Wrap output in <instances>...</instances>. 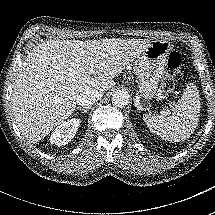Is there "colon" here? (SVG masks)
<instances>
[{"instance_id": "obj_1", "label": "colon", "mask_w": 215, "mask_h": 215, "mask_svg": "<svg viewBox=\"0 0 215 215\" xmlns=\"http://www.w3.org/2000/svg\"><path fill=\"white\" fill-rule=\"evenodd\" d=\"M180 64H181V55L176 51H172L168 56L167 69L169 71H174L180 67ZM174 85H175L174 77L172 76L166 77L161 84L162 95L163 96L169 95L172 92Z\"/></svg>"}]
</instances>
